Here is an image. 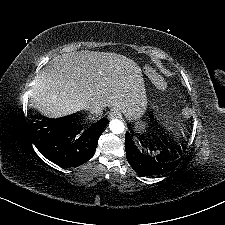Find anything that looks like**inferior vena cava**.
Listing matches in <instances>:
<instances>
[{
    "label": "inferior vena cava",
    "mask_w": 225,
    "mask_h": 225,
    "mask_svg": "<svg viewBox=\"0 0 225 225\" xmlns=\"http://www.w3.org/2000/svg\"><path fill=\"white\" fill-rule=\"evenodd\" d=\"M106 107L107 103L99 100H92V102L88 104V109L95 114L101 113Z\"/></svg>",
    "instance_id": "inferior-vena-cava-1"
}]
</instances>
